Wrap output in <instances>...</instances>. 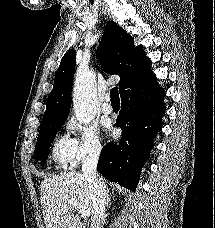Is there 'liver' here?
Returning a JSON list of instances; mask_svg holds the SVG:
<instances>
[{
	"instance_id": "6515ba94",
	"label": "liver",
	"mask_w": 215,
	"mask_h": 228,
	"mask_svg": "<svg viewBox=\"0 0 215 228\" xmlns=\"http://www.w3.org/2000/svg\"><path fill=\"white\" fill-rule=\"evenodd\" d=\"M41 206L46 228H85L76 210L68 202H76L92 216V190L78 172L49 176L41 182Z\"/></svg>"
}]
</instances>
